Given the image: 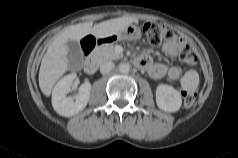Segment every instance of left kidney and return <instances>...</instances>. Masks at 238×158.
Instances as JSON below:
<instances>
[{
	"mask_svg": "<svg viewBox=\"0 0 238 158\" xmlns=\"http://www.w3.org/2000/svg\"><path fill=\"white\" fill-rule=\"evenodd\" d=\"M156 104L166 112H177L182 105L181 94L170 85L159 84L156 89Z\"/></svg>",
	"mask_w": 238,
	"mask_h": 158,
	"instance_id": "left-kidney-1",
	"label": "left kidney"
}]
</instances>
